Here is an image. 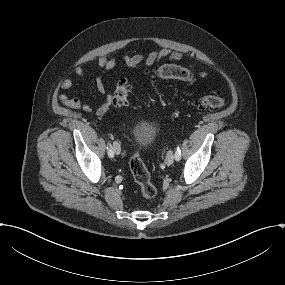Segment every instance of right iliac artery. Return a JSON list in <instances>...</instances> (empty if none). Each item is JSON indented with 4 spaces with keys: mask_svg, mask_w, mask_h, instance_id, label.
<instances>
[{
    "mask_svg": "<svg viewBox=\"0 0 285 285\" xmlns=\"http://www.w3.org/2000/svg\"><path fill=\"white\" fill-rule=\"evenodd\" d=\"M107 154H108L109 157H113L114 156V152L112 150V146H111V144L109 142L107 144Z\"/></svg>",
    "mask_w": 285,
    "mask_h": 285,
    "instance_id": "right-iliac-artery-1",
    "label": "right iliac artery"
}]
</instances>
